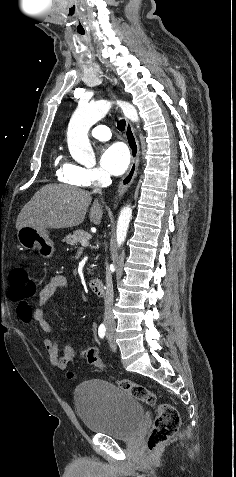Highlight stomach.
<instances>
[{"label":"stomach","instance_id":"obj_1","mask_svg":"<svg viewBox=\"0 0 236 477\" xmlns=\"http://www.w3.org/2000/svg\"><path fill=\"white\" fill-rule=\"evenodd\" d=\"M17 239L21 247L26 250H37L44 258H50L55 252L54 242L49 238L47 229L37 230L24 226L17 232Z\"/></svg>","mask_w":236,"mask_h":477}]
</instances>
